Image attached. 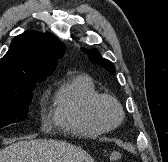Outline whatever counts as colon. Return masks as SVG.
<instances>
[{"mask_svg":"<svg viewBox=\"0 0 168 162\" xmlns=\"http://www.w3.org/2000/svg\"><path fill=\"white\" fill-rule=\"evenodd\" d=\"M122 159V155L119 152H112L110 154V160L113 162L120 161Z\"/></svg>","mask_w":168,"mask_h":162,"instance_id":"obj_1","label":"colon"}]
</instances>
